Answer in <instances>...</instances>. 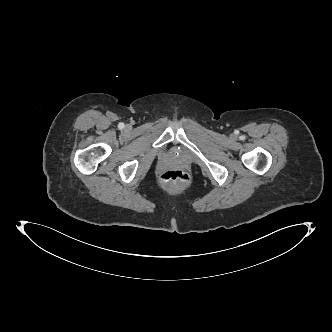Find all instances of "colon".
<instances>
[{
	"mask_svg": "<svg viewBox=\"0 0 332 332\" xmlns=\"http://www.w3.org/2000/svg\"><path fill=\"white\" fill-rule=\"evenodd\" d=\"M160 180L165 184H184L189 181V175L181 170H168L160 175Z\"/></svg>",
	"mask_w": 332,
	"mask_h": 332,
	"instance_id": "colon-1",
	"label": "colon"
}]
</instances>
